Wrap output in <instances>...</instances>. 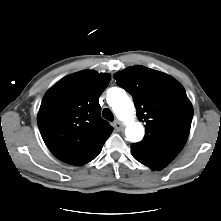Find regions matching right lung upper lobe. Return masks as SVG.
Here are the masks:
<instances>
[{
  "instance_id": "cb5924a9",
  "label": "right lung upper lobe",
  "mask_w": 221,
  "mask_h": 221,
  "mask_svg": "<svg viewBox=\"0 0 221 221\" xmlns=\"http://www.w3.org/2000/svg\"><path fill=\"white\" fill-rule=\"evenodd\" d=\"M109 81V74L81 71L64 77L45 94L38 127L59 160L83 165L102 149L113 131L101 118L98 101Z\"/></svg>"
}]
</instances>
